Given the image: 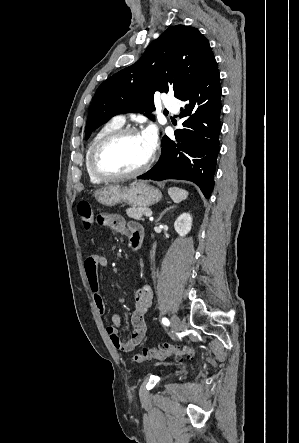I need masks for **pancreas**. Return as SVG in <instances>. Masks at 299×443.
I'll return each mask as SVG.
<instances>
[{
  "instance_id": "1",
  "label": "pancreas",
  "mask_w": 299,
  "mask_h": 443,
  "mask_svg": "<svg viewBox=\"0 0 299 443\" xmlns=\"http://www.w3.org/2000/svg\"><path fill=\"white\" fill-rule=\"evenodd\" d=\"M148 211H150L148 207H136V206H133L126 210L129 217L142 221H144L143 215H145V213Z\"/></svg>"
}]
</instances>
